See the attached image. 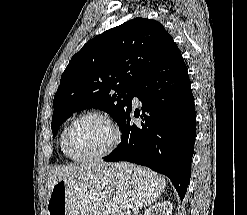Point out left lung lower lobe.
Segmentation results:
<instances>
[{
    "instance_id": "1",
    "label": "left lung lower lobe",
    "mask_w": 247,
    "mask_h": 215,
    "mask_svg": "<svg viewBox=\"0 0 247 215\" xmlns=\"http://www.w3.org/2000/svg\"><path fill=\"white\" fill-rule=\"evenodd\" d=\"M142 103L141 124L126 113L122 141L104 161H128L164 174L181 200L190 182L196 135V113L187 67L171 40L159 62L135 88Z\"/></svg>"
}]
</instances>
